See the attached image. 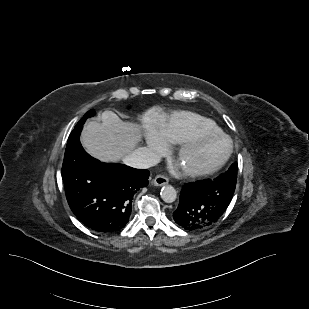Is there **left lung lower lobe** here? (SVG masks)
Here are the masks:
<instances>
[{
  "mask_svg": "<svg viewBox=\"0 0 309 309\" xmlns=\"http://www.w3.org/2000/svg\"><path fill=\"white\" fill-rule=\"evenodd\" d=\"M235 188L236 182L218 178L185 184L173 213L175 222L190 231L214 225L229 206Z\"/></svg>",
  "mask_w": 309,
  "mask_h": 309,
  "instance_id": "left-lung-lower-lobe-1",
  "label": "left lung lower lobe"
}]
</instances>
